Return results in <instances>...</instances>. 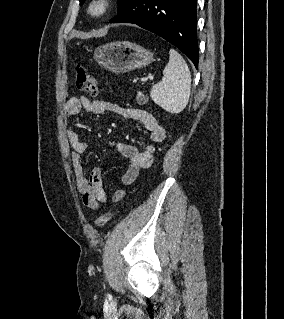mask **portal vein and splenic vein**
Wrapping results in <instances>:
<instances>
[{"mask_svg": "<svg viewBox=\"0 0 284 319\" xmlns=\"http://www.w3.org/2000/svg\"><path fill=\"white\" fill-rule=\"evenodd\" d=\"M149 79H150V80H153L154 78H153V76H149Z\"/></svg>", "mask_w": 284, "mask_h": 319, "instance_id": "18ae733b", "label": "portal vein and splenic vein"}]
</instances>
